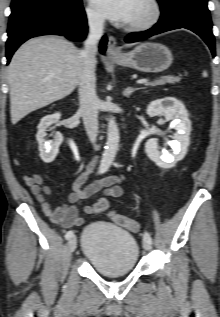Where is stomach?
Returning a JSON list of instances; mask_svg holds the SVG:
<instances>
[{
	"instance_id": "obj_1",
	"label": "stomach",
	"mask_w": 220,
	"mask_h": 317,
	"mask_svg": "<svg viewBox=\"0 0 220 317\" xmlns=\"http://www.w3.org/2000/svg\"><path fill=\"white\" fill-rule=\"evenodd\" d=\"M117 65L135 69L141 72H162L170 67L173 56L168 47L160 43L145 42L135 47L129 53L112 57Z\"/></svg>"
}]
</instances>
